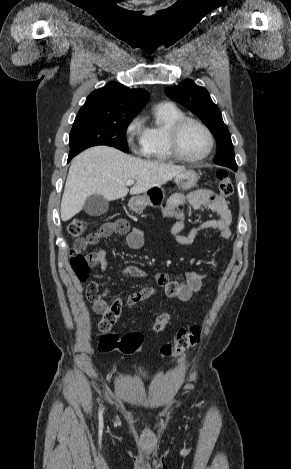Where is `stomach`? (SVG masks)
Masks as SVG:
<instances>
[{
  "mask_svg": "<svg viewBox=\"0 0 291 469\" xmlns=\"http://www.w3.org/2000/svg\"><path fill=\"white\" fill-rule=\"evenodd\" d=\"M199 177L193 170H185L175 177V184L180 190L193 188ZM165 190L161 186H154L144 194L134 196L129 201V208L135 212H142L147 206H161L165 199Z\"/></svg>",
  "mask_w": 291,
  "mask_h": 469,
  "instance_id": "stomach-1",
  "label": "stomach"
}]
</instances>
